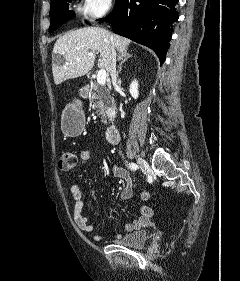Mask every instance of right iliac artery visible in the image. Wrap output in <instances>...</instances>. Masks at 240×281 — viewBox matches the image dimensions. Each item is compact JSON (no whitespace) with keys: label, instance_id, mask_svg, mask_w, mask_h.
<instances>
[{"label":"right iliac artery","instance_id":"obj_1","mask_svg":"<svg viewBox=\"0 0 240 281\" xmlns=\"http://www.w3.org/2000/svg\"><path fill=\"white\" fill-rule=\"evenodd\" d=\"M128 166L131 170H137L138 169V165L135 164V163H129Z\"/></svg>","mask_w":240,"mask_h":281}]
</instances>
